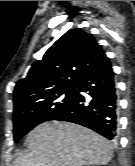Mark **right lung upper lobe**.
Returning a JSON list of instances; mask_svg holds the SVG:
<instances>
[{
	"label": "right lung upper lobe",
	"instance_id": "1",
	"mask_svg": "<svg viewBox=\"0 0 135 166\" xmlns=\"http://www.w3.org/2000/svg\"><path fill=\"white\" fill-rule=\"evenodd\" d=\"M108 58L92 34L71 29L30 68L14 89V109L75 87L77 82Z\"/></svg>",
	"mask_w": 135,
	"mask_h": 166
}]
</instances>
